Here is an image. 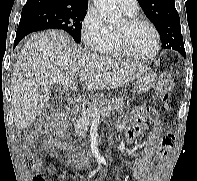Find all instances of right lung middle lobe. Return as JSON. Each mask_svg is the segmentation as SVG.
I'll use <instances>...</instances> for the list:
<instances>
[{"instance_id":"dd1d6c3e","label":"right lung middle lobe","mask_w":197,"mask_h":181,"mask_svg":"<svg viewBox=\"0 0 197 181\" xmlns=\"http://www.w3.org/2000/svg\"><path fill=\"white\" fill-rule=\"evenodd\" d=\"M87 9L73 10L54 7H34L22 10L21 19L30 20L47 29H61L73 37L76 43L81 42V26Z\"/></svg>"}]
</instances>
